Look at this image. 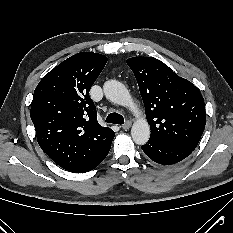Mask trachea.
I'll use <instances>...</instances> for the list:
<instances>
[{"label":"trachea","instance_id":"1","mask_svg":"<svg viewBox=\"0 0 233 233\" xmlns=\"http://www.w3.org/2000/svg\"><path fill=\"white\" fill-rule=\"evenodd\" d=\"M107 123H113V124H124V117L118 113H110L106 118Z\"/></svg>","mask_w":233,"mask_h":233}]
</instances>
